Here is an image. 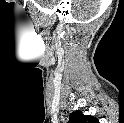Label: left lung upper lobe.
Here are the masks:
<instances>
[{"label": "left lung upper lobe", "instance_id": "5c2ea615", "mask_svg": "<svg viewBox=\"0 0 124 123\" xmlns=\"http://www.w3.org/2000/svg\"><path fill=\"white\" fill-rule=\"evenodd\" d=\"M69 122L68 123H97V118L90 116V115H84L81 111H74L69 115Z\"/></svg>", "mask_w": 124, "mask_h": 123}]
</instances>
